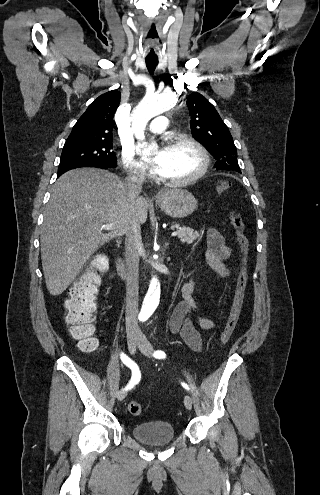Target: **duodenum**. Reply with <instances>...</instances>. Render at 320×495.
Returning a JSON list of instances; mask_svg holds the SVG:
<instances>
[{"label": "duodenum", "mask_w": 320, "mask_h": 495, "mask_svg": "<svg viewBox=\"0 0 320 495\" xmlns=\"http://www.w3.org/2000/svg\"><path fill=\"white\" fill-rule=\"evenodd\" d=\"M117 270L119 272L120 277L122 279H125L126 275H127V270H126V266H125V263H124L122 258H119L117 261Z\"/></svg>", "instance_id": "1"}]
</instances>
